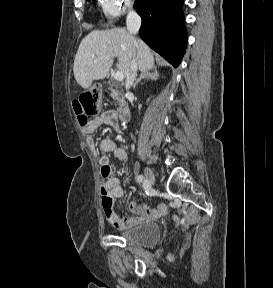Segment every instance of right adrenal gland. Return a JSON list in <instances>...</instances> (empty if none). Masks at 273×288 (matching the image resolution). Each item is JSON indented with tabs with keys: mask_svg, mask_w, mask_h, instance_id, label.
I'll return each instance as SVG.
<instances>
[{
	"mask_svg": "<svg viewBox=\"0 0 273 288\" xmlns=\"http://www.w3.org/2000/svg\"><path fill=\"white\" fill-rule=\"evenodd\" d=\"M142 79L157 80V79H159V73H158V71H157L156 68H154L152 72H150V71H143V72L141 73L140 77H139V78L135 81V83L133 84V88H135Z\"/></svg>",
	"mask_w": 273,
	"mask_h": 288,
	"instance_id": "obj_1",
	"label": "right adrenal gland"
}]
</instances>
